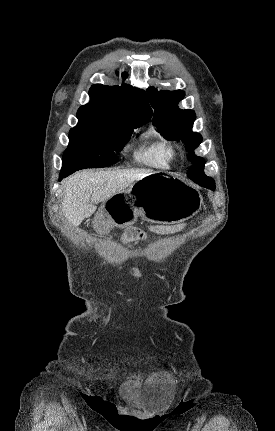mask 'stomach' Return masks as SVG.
Masks as SVG:
<instances>
[{
	"instance_id": "1",
	"label": "stomach",
	"mask_w": 275,
	"mask_h": 431,
	"mask_svg": "<svg viewBox=\"0 0 275 431\" xmlns=\"http://www.w3.org/2000/svg\"><path fill=\"white\" fill-rule=\"evenodd\" d=\"M203 205L201 194L182 179L152 173L111 198L101 206L93 220L99 234L112 227H128L138 217L159 224H177L197 214Z\"/></svg>"
}]
</instances>
